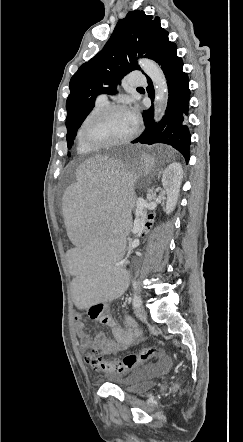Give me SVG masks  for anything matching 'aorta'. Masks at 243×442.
<instances>
[{
  "label": "aorta",
  "instance_id": "1",
  "mask_svg": "<svg viewBox=\"0 0 243 442\" xmlns=\"http://www.w3.org/2000/svg\"><path fill=\"white\" fill-rule=\"evenodd\" d=\"M143 71L151 78L155 90V114L158 119L164 114L168 102V85L161 68L148 59L140 60Z\"/></svg>",
  "mask_w": 243,
  "mask_h": 442
}]
</instances>
